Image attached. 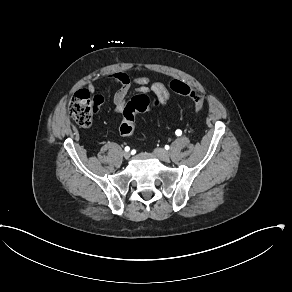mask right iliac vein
<instances>
[{"label":"right iliac vein","mask_w":292,"mask_h":292,"mask_svg":"<svg viewBox=\"0 0 292 292\" xmlns=\"http://www.w3.org/2000/svg\"><path fill=\"white\" fill-rule=\"evenodd\" d=\"M123 156H124V158L127 160V159H129L130 158V152H124L123 153Z\"/></svg>","instance_id":"63e3f726"}]
</instances>
